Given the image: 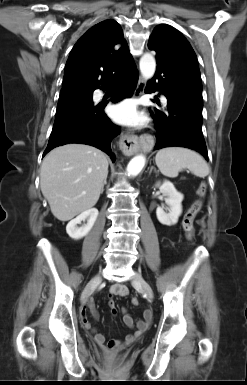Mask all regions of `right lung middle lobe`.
<instances>
[{
  "label": "right lung middle lobe",
  "mask_w": 247,
  "mask_h": 385,
  "mask_svg": "<svg viewBox=\"0 0 247 385\" xmlns=\"http://www.w3.org/2000/svg\"><path fill=\"white\" fill-rule=\"evenodd\" d=\"M93 90L72 89L60 92L57 112H61L81 103H91Z\"/></svg>",
  "instance_id": "1"
}]
</instances>
